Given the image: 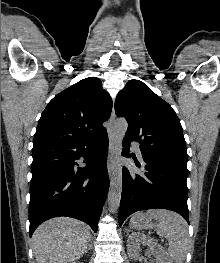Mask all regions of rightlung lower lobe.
I'll return each instance as SVG.
<instances>
[{
  "mask_svg": "<svg viewBox=\"0 0 220 263\" xmlns=\"http://www.w3.org/2000/svg\"><path fill=\"white\" fill-rule=\"evenodd\" d=\"M107 131L85 141L34 147L30 184V236L42 222L68 216L96 232L109 187ZM84 158L86 167L76 160Z\"/></svg>",
  "mask_w": 220,
  "mask_h": 263,
  "instance_id": "obj_1",
  "label": "right lung lower lobe"
}]
</instances>
